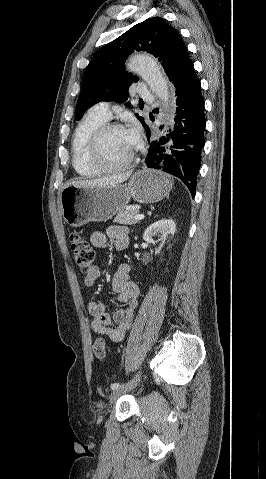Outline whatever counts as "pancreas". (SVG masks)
I'll use <instances>...</instances> for the list:
<instances>
[{"instance_id":"cf45deb5","label":"pancreas","mask_w":266,"mask_h":479,"mask_svg":"<svg viewBox=\"0 0 266 479\" xmlns=\"http://www.w3.org/2000/svg\"><path fill=\"white\" fill-rule=\"evenodd\" d=\"M138 212V210L133 209L120 210L114 218V222L125 225H133L138 222L133 218L136 214H138Z\"/></svg>"}]
</instances>
